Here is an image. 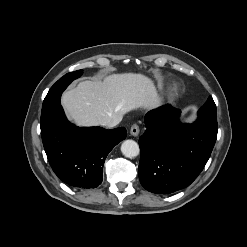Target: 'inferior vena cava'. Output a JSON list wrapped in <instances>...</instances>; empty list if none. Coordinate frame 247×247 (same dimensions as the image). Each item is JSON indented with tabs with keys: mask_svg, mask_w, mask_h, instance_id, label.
<instances>
[{
	"mask_svg": "<svg viewBox=\"0 0 247 247\" xmlns=\"http://www.w3.org/2000/svg\"><path fill=\"white\" fill-rule=\"evenodd\" d=\"M121 120H122V117L116 118L113 121H111L109 124H107V127L112 128L116 126L117 124H119Z\"/></svg>",
	"mask_w": 247,
	"mask_h": 247,
	"instance_id": "obj_1",
	"label": "inferior vena cava"
}]
</instances>
